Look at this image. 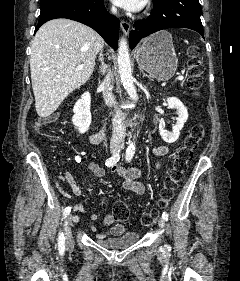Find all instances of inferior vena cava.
<instances>
[{"instance_id": "602c4592", "label": "inferior vena cava", "mask_w": 240, "mask_h": 281, "mask_svg": "<svg viewBox=\"0 0 240 281\" xmlns=\"http://www.w3.org/2000/svg\"><path fill=\"white\" fill-rule=\"evenodd\" d=\"M111 11L115 14L116 8L113 7ZM111 80L112 73L111 70H109L108 74L100 85L104 100L110 106L115 103V98L111 92ZM110 116L112 117L113 121L111 144H122L125 138V115L118 107L114 106V108L110 112Z\"/></svg>"}]
</instances>
